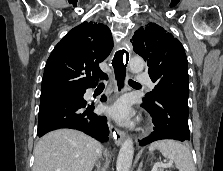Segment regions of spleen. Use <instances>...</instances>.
<instances>
[{
  "mask_svg": "<svg viewBox=\"0 0 223 171\" xmlns=\"http://www.w3.org/2000/svg\"><path fill=\"white\" fill-rule=\"evenodd\" d=\"M158 149L161 154L175 163L179 171H196L189 149L174 140H161L152 143L149 151Z\"/></svg>",
  "mask_w": 223,
  "mask_h": 171,
  "instance_id": "1",
  "label": "spleen"
}]
</instances>
